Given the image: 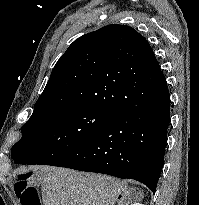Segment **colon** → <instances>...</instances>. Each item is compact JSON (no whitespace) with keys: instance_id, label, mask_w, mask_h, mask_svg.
Instances as JSON below:
<instances>
[{"instance_id":"1","label":"colon","mask_w":199,"mask_h":205,"mask_svg":"<svg viewBox=\"0 0 199 205\" xmlns=\"http://www.w3.org/2000/svg\"><path fill=\"white\" fill-rule=\"evenodd\" d=\"M30 175H19L14 183V191L21 205H41L36 188L30 185Z\"/></svg>"}]
</instances>
